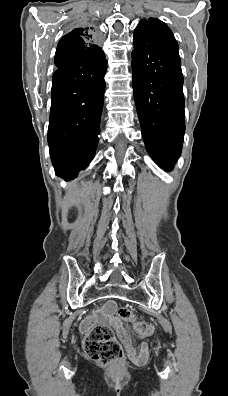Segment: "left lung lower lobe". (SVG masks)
I'll use <instances>...</instances> for the list:
<instances>
[{"label":"left lung lower lobe","mask_w":228,"mask_h":396,"mask_svg":"<svg viewBox=\"0 0 228 396\" xmlns=\"http://www.w3.org/2000/svg\"><path fill=\"white\" fill-rule=\"evenodd\" d=\"M134 98L147 152L171 170L185 132L183 75L178 44L164 32L133 36Z\"/></svg>","instance_id":"obj_1"}]
</instances>
